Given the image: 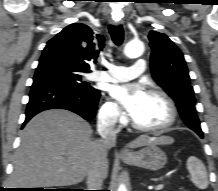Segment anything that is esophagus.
I'll list each match as a JSON object with an SVG mask.
<instances>
[{"label":"esophagus","instance_id":"obj_1","mask_svg":"<svg viewBox=\"0 0 218 191\" xmlns=\"http://www.w3.org/2000/svg\"><path fill=\"white\" fill-rule=\"evenodd\" d=\"M112 22L116 26H120L123 24V21H121V20H118V21L113 20ZM120 155L121 156H128V155H130V152L128 150L123 149L120 151Z\"/></svg>","mask_w":218,"mask_h":191}]
</instances>
